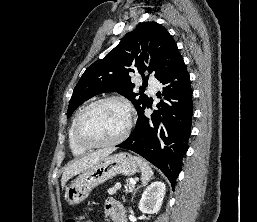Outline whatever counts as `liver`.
Listing matches in <instances>:
<instances>
[{
    "instance_id": "6515ba94",
    "label": "liver",
    "mask_w": 257,
    "mask_h": 222,
    "mask_svg": "<svg viewBox=\"0 0 257 222\" xmlns=\"http://www.w3.org/2000/svg\"><path fill=\"white\" fill-rule=\"evenodd\" d=\"M114 150H115L114 148L101 149L87 156H84L80 159H75L71 161L64 169L62 179H61L62 187L65 186L66 182L70 178H72L73 176L79 173L86 171L91 166L96 164L98 161L110 155Z\"/></svg>"
}]
</instances>
